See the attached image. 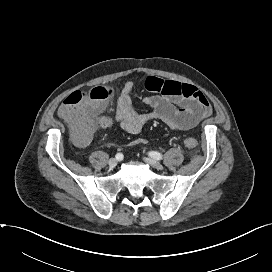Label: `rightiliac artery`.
I'll return each instance as SVG.
<instances>
[{"label":"right iliac artery","mask_w":272,"mask_h":272,"mask_svg":"<svg viewBox=\"0 0 272 272\" xmlns=\"http://www.w3.org/2000/svg\"><path fill=\"white\" fill-rule=\"evenodd\" d=\"M115 158L118 160V161H121L123 159V154L122 153H117Z\"/></svg>","instance_id":"right-iliac-artery-1"}]
</instances>
